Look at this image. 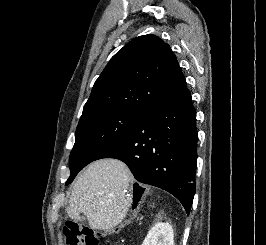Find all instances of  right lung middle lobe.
Here are the masks:
<instances>
[{"instance_id":"dd1d6c3e","label":"right lung middle lobe","mask_w":266,"mask_h":245,"mask_svg":"<svg viewBox=\"0 0 266 245\" xmlns=\"http://www.w3.org/2000/svg\"><path fill=\"white\" fill-rule=\"evenodd\" d=\"M145 113L108 109L80 118L69 158L71 183L77 173L126 136Z\"/></svg>"}]
</instances>
